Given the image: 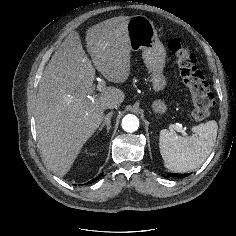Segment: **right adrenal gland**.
Returning <instances> with one entry per match:
<instances>
[{
	"mask_svg": "<svg viewBox=\"0 0 236 236\" xmlns=\"http://www.w3.org/2000/svg\"><path fill=\"white\" fill-rule=\"evenodd\" d=\"M112 115H113V112H110L104 117V122L100 126L99 131H101L104 128V126H107V133L110 131Z\"/></svg>",
	"mask_w": 236,
	"mask_h": 236,
	"instance_id": "1",
	"label": "right adrenal gland"
}]
</instances>
